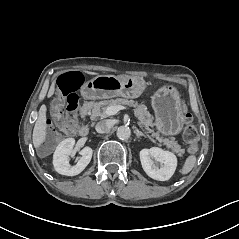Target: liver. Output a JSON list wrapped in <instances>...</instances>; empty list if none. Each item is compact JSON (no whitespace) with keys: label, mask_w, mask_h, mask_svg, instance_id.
Segmentation results:
<instances>
[{"label":"liver","mask_w":239,"mask_h":239,"mask_svg":"<svg viewBox=\"0 0 239 239\" xmlns=\"http://www.w3.org/2000/svg\"><path fill=\"white\" fill-rule=\"evenodd\" d=\"M82 73L88 75H100L97 72L82 70ZM57 78H54L51 82L50 88L47 93V99L51 98L56 91ZM47 137V106L42 104L38 111V118L35 122L33 133H32V142L35 149H38L45 141Z\"/></svg>","instance_id":"obj_1"}]
</instances>
